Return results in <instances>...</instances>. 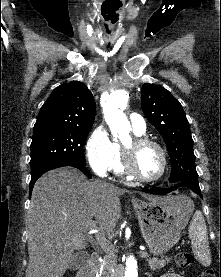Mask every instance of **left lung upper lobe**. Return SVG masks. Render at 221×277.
Instances as JSON below:
<instances>
[{"instance_id": "5c2ea615", "label": "left lung upper lobe", "mask_w": 221, "mask_h": 277, "mask_svg": "<svg viewBox=\"0 0 221 277\" xmlns=\"http://www.w3.org/2000/svg\"><path fill=\"white\" fill-rule=\"evenodd\" d=\"M141 107L148 121L163 136L171 157L172 184L198 183L190 125L180 102L162 86L144 84Z\"/></svg>"}]
</instances>
